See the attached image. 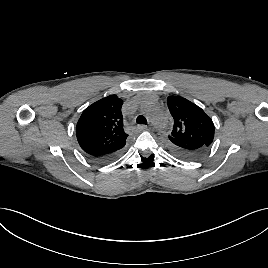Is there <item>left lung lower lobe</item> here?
I'll return each mask as SVG.
<instances>
[{"label": "left lung lower lobe", "mask_w": 268, "mask_h": 268, "mask_svg": "<svg viewBox=\"0 0 268 268\" xmlns=\"http://www.w3.org/2000/svg\"><path fill=\"white\" fill-rule=\"evenodd\" d=\"M165 145L172 155L186 161L198 160L209 150V147L197 141L182 143L175 140H166Z\"/></svg>", "instance_id": "obj_1"}]
</instances>
